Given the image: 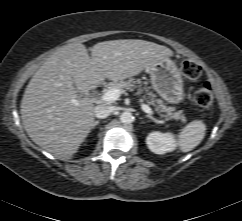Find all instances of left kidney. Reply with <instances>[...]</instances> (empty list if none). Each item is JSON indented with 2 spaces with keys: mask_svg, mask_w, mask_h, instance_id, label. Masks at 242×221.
I'll return each instance as SVG.
<instances>
[{
  "mask_svg": "<svg viewBox=\"0 0 242 221\" xmlns=\"http://www.w3.org/2000/svg\"><path fill=\"white\" fill-rule=\"evenodd\" d=\"M148 148L155 154H165L175 149V139L171 133L152 132L146 138Z\"/></svg>",
  "mask_w": 242,
  "mask_h": 221,
  "instance_id": "5707ae66",
  "label": "left kidney"
}]
</instances>
